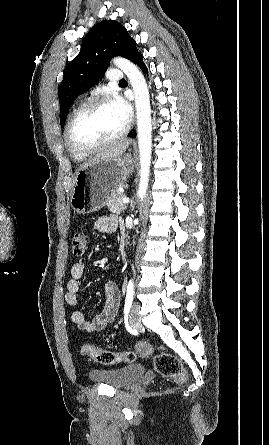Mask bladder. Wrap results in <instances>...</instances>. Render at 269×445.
<instances>
[{
  "label": "bladder",
  "mask_w": 269,
  "mask_h": 445,
  "mask_svg": "<svg viewBox=\"0 0 269 445\" xmlns=\"http://www.w3.org/2000/svg\"><path fill=\"white\" fill-rule=\"evenodd\" d=\"M145 374V367L141 364H131L116 369L92 370L89 377L92 381L104 383L114 388L131 385Z\"/></svg>",
  "instance_id": "31cf9c89"
}]
</instances>
